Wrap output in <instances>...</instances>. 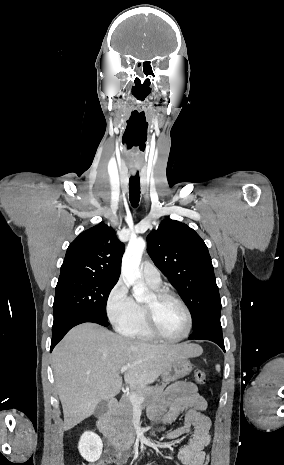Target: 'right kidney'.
<instances>
[{
  "instance_id": "right-kidney-1",
  "label": "right kidney",
  "mask_w": 284,
  "mask_h": 465,
  "mask_svg": "<svg viewBox=\"0 0 284 465\" xmlns=\"http://www.w3.org/2000/svg\"><path fill=\"white\" fill-rule=\"evenodd\" d=\"M78 449L83 459H86L89 463H95L101 457L103 443L96 433L86 431L79 441Z\"/></svg>"
}]
</instances>
